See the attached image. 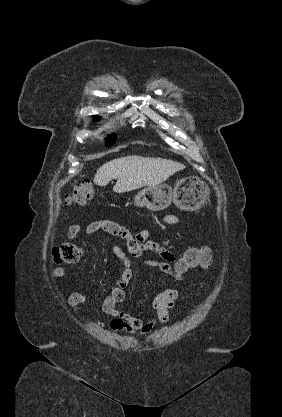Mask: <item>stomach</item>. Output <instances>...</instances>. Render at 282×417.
Here are the masks:
<instances>
[{
    "label": "stomach",
    "mask_w": 282,
    "mask_h": 417,
    "mask_svg": "<svg viewBox=\"0 0 282 417\" xmlns=\"http://www.w3.org/2000/svg\"><path fill=\"white\" fill-rule=\"evenodd\" d=\"M210 188L200 178H180L174 188L169 184H156L140 190L134 198L136 206H146L149 211H163L174 202L180 211H199L207 202Z\"/></svg>",
    "instance_id": "obj_1"
}]
</instances>
